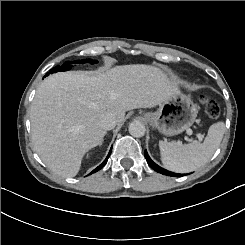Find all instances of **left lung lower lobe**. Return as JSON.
<instances>
[{
    "instance_id": "left-lung-lower-lobe-1",
    "label": "left lung lower lobe",
    "mask_w": 245,
    "mask_h": 245,
    "mask_svg": "<svg viewBox=\"0 0 245 245\" xmlns=\"http://www.w3.org/2000/svg\"><path fill=\"white\" fill-rule=\"evenodd\" d=\"M144 156L147 160V163L149 164V166L154 169L156 172H159L161 174H164V175H168V176H174V177H181V176H184V174H178V173H173L171 171H168L160 166H158L155 162H153L151 160V158L149 157L147 151L145 150L144 151Z\"/></svg>"
}]
</instances>
